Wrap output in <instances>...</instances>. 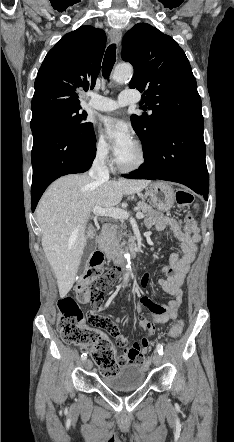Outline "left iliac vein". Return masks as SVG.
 <instances>
[{
    "label": "left iliac vein",
    "mask_w": 234,
    "mask_h": 442,
    "mask_svg": "<svg viewBox=\"0 0 234 442\" xmlns=\"http://www.w3.org/2000/svg\"><path fill=\"white\" fill-rule=\"evenodd\" d=\"M153 363L156 365V366H159L161 363H162V357H161V355L159 354V353H155L154 354V356H153Z\"/></svg>",
    "instance_id": "left-iliac-vein-1"
}]
</instances>
